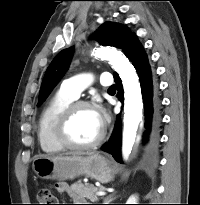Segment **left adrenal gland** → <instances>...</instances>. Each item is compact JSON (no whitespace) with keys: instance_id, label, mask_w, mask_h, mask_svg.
<instances>
[{"instance_id":"obj_1","label":"left adrenal gland","mask_w":200,"mask_h":205,"mask_svg":"<svg viewBox=\"0 0 200 205\" xmlns=\"http://www.w3.org/2000/svg\"><path fill=\"white\" fill-rule=\"evenodd\" d=\"M116 192L110 194L109 196H107L106 198H104V202L103 204H110V202L114 199H116V196H115Z\"/></svg>"}]
</instances>
